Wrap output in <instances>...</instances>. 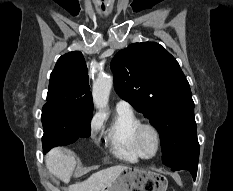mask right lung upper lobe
Listing matches in <instances>:
<instances>
[{"mask_svg":"<svg viewBox=\"0 0 233 191\" xmlns=\"http://www.w3.org/2000/svg\"><path fill=\"white\" fill-rule=\"evenodd\" d=\"M47 101L45 105L93 111L88 70L81 52L73 51L59 58L50 75Z\"/></svg>","mask_w":233,"mask_h":191,"instance_id":"right-lung-upper-lobe-1","label":"right lung upper lobe"}]
</instances>
